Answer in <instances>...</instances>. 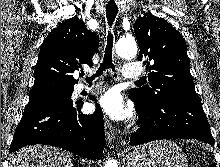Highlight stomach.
<instances>
[{
	"mask_svg": "<svg viewBox=\"0 0 220 167\" xmlns=\"http://www.w3.org/2000/svg\"><path fill=\"white\" fill-rule=\"evenodd\" d=\"M127 167H188L182 149L172 141H155L128 149Z\"/></svg>",
	"mask_w": 220,
	"mask_h": 167,
	"instance_id": "0dacf381",
	"label": "stomach"
}]
</instances>
